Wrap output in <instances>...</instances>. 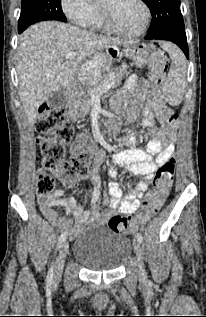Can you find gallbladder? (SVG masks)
Masks as SVG:
<instances>
[{
    "label": "gallbladder",
    "mask_w": 206,
    "mask_h": 317,
    "mask_svg": "<svg viewBox=\"0 0 206 317\" xmlns=\"http://www.w3.org/2000/svg\"><path fill=\"white\" fill-rule=\"evenodd\" d=\"M46 103L52 109H60L65 103L64 91L60 90V91H56V92L51 93L48 96Z\"/></svg>",
    "instance_id": "gallbladder-1"
}]
</instances>
